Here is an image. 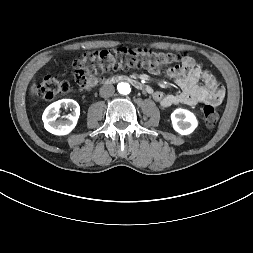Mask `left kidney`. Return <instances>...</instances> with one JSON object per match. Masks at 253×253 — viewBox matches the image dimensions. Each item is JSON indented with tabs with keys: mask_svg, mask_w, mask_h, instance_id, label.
Returning a JSON list of instances; mask_svg holds the SVG:
<instances>
[{
	"mask_svg": "<svg viewBox=\"0 0 253 253\" xmlns=\"http://www.w3.org/2000/svg\"><path fill=\"white\" fill-rule=\"evenodd\" d=\"M173 128L181 135L191 134L197 127L196 116L187 109L177 108L171 114Z\"/></svg>",
	"mask_w": 253,
	"mask_h": 253,
	"instance_id": "left-kidney-1",
	"label": "left kidney"
}]
</instances>
